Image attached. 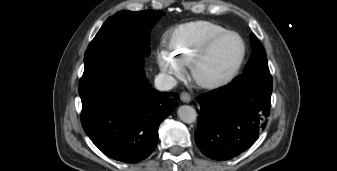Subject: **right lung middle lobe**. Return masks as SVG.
I'll list each match as a JSON object with an SVG mask.
<instances>
[{
    "label": "right lung middle lobe",
    "instance_id": "1",
    "mask_svg": "<svg viewBox=\"0 0 337 171\" xmlns=\"http://www.w3.org/2000/svg\"><path fill=\"white\" fill-rule=\"evenodd\" d=\"M162 15L164 12L160 10L117 12L107 19L89 44L84 62L94 55L111 49H126L148 55L150 30Z\"/></svg>",
    "mask_w": 337,
    "mask_h": 171
}]
</instances>
